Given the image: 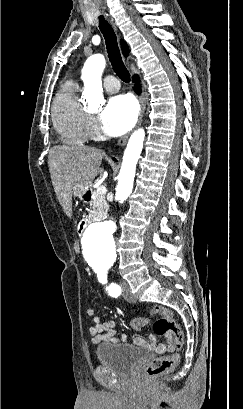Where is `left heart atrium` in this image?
I'll return each instance as SVG.
<instances>
[{"instance_id": "left-heart-atrium-1", "label": "left heart atrium", "mask_w": 243, "mask_h": 409, "mask_svg": "<svg viewBox=\"0 0 243 409\" xmlns=\"http://www.w3.org/2000/svg\"><path fill=\"white\" fill-rule=\"evenodd\" d=\"M138 108L129 95H117L109 99L100 114L103 131L109 136H119L135 124Z\"/></svg>"}]
</instances>
